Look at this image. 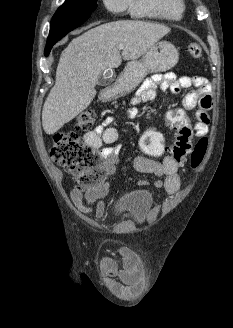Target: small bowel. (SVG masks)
Returning <instances> with one entry per match:
<instances>
[{
  "mask_svg": "<svg viewBox=\"0 0 233 328\" xmlns=\"http://www.w3.org/2000/svg\"><path fill=\"white\" fill-rule=\"evenodd\" d=\"M190 90L183 99V105L187 109L198 107L195 122L192 124L196 137H203L208 133L210 118L208 110L212 107L211 86L208 80L202 76H182L175 73L155 74L144 81L132 99L135 106L142 102H150L156 98L157 89L169 90L173 94L182 89ZM128 115L132 119L139 116L137 108L128 109ZM113 118H105L93 130L84 135V141L95 150H100L105 159V171L107 175L115 172L120 147L114 145L118 139V131L112 126ZM103 144L107 145L102 148ZM135 169L142 173H149L159 179L154 182L156 188H163L169 195H174L180 188V166L170 155L164 156L162 161H156L146 156H139L134 162ZM140 186L148 185L146 180H139ZM108 192V183L103 182L95 187L80 189L74 188L71 199L77 209L83 213L95 210L97 217L104 212L103 199ZM119 257L122 266L119 267L117 259L104 256L101 259V268L104 272L106 287L123 299H131L141 294L144 287V272L141 260L128 249H120Z\"/></svg>",
  "mask_w": 233,
  "mask_h": 328,
  "instance_id": "1",
  "label": "small bowel"
}]
</instances>
